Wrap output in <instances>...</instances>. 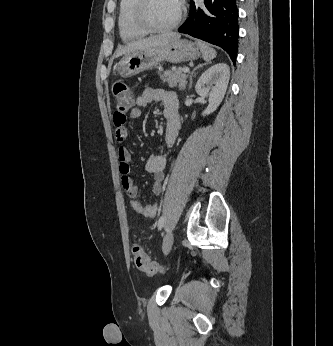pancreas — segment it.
Returning a JSON list of instances; mask_svg holds the SVG:
<instances>
[{"label":"pancreas","mask_w":333,"mask_h":346,"mask_svg":"<svg viewBox=\"0 0 333 346\" xmlns=\"http://www.w3.org/2000/svg\"><path fill=\"white\" fill-rule=\"evenodd\" d=\"M162 81L168 84L169 87L178 86L180 90L186 88V79L188 75L183 73L182 68H178L175 71H165L163 74L159 73Z\"/></svg>","instance_id":"pancreas-1"}]
</instances>
